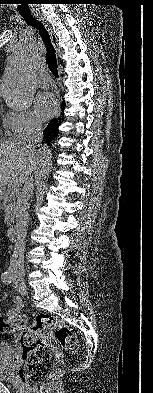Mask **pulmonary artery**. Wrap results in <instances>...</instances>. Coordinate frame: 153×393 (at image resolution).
I'll return each mask as SVG.
<instances>
[{
	"label": "pulmonary artery",
	"mask_w": 153,
	"mask_h": 393,
	"mask_svg": "<svg viewBox=\"0 0 153 393\" xmlns=\"http://www.w3.org/2000/svg\"><path fill=\"white\" fill-rule=\"evenodd\" d=\"M38 83L43 88H48L52 84V79L48 73H42L38 76Z\"/></svg>",
	"instance_id": "e3ab8cb5"
}]
</instances>
